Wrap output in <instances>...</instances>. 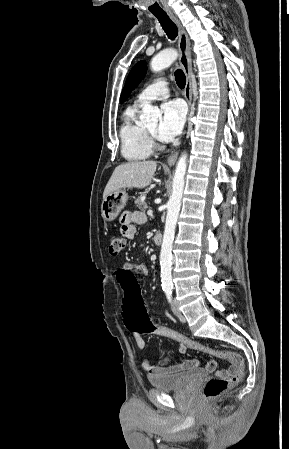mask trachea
<instances>
[{"label": "trachea", "mask_w": 289, "mask_h": 449, "mask_svg": "<svg viewBox=\"0 0 289 449\" xmlns=\"http://www.w3.org/2000/svg\"><path fill=\"white\" fill-rule=\"evenodd\" d=\"M158 19L163 30L169 39L174 40L178 35V28L166 13H153ZM175 80L179 88L183 89L186 84V77L181 69H177L174 73Z\"/></svg>", "instance_id": "1"}]
</instances>
